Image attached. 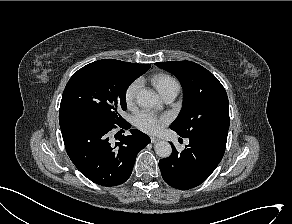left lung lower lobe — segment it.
Instances as JSON below:
<instances>
[{
	"label": "left lung lower lobe",
	"mask_w": 292,
	"mask_h": 224,
	"mask_svg": "<svg viewBox=\"0 0 292 224\" xmlns=\"http://www.w3.org/2000/svg\"><path fill=\"white\" fill-rule=\"evenodd\" d=\"M159 161L164 181L171 187L186 190L200 185L220 163L226 143L189 137V144L179 153Z\"/></svg>",
	"instance_id": "0a47b994"
}]
</instances>
